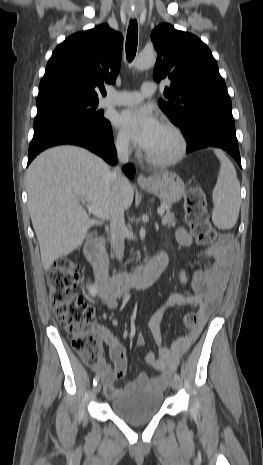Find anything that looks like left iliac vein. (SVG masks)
<instances>
[{
    "instance_id": "obj_1",
    "label": "left iliac vein",
    "mask_w": 263,
    "mask_h": 465,
    "mask_svg": "<svg viewBox=\"0 0 263 465\" xmlns=\"http://www.w3.org/2000/svg\"><path fill=\"white\" fill-rule=\"evenodd\" d=\"M170 386L174 390L177 389L178 388V381L175 378L171 379Z\"/></svg>"
}]
</instances>
